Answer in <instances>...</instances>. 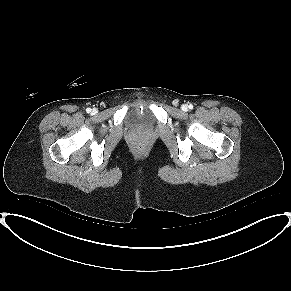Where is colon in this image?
Instances as JSON below:
<instances>
[{
	"label": "colon",
	"instance_id": "5ec220e1",
	"mask_svg": "<svg viewBox=\"0 0 291 291\" xmlns=\"http://www.w3.org/2000/svg\"><path fill=\"white\" fill-rule=\"evenodd\" d=\"M136 148H137V150H138L139 152H142V151L145 150V146H144L143 144H141V143H138V144L136 145Z\"/></svg>",
	"mask_w": 291,
	"mask_h": 291
}]
</instances>
